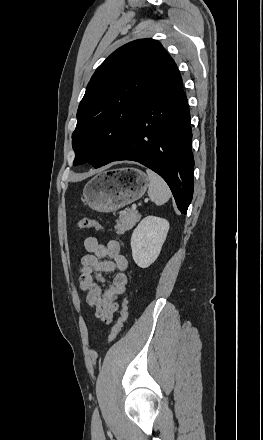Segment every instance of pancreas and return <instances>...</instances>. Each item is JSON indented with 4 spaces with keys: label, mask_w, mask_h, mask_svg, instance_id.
Instances as JSON below:
<instances>
[{
    "label": "pancreas",
    "mask_w": 263,
    "mask_h": 440,
    "mask_svg": "<svg viewBox=\"0 0 263 440\" xmlns=\"http://www.w3.org/2000/svg\"><path fill=\"white\" fill-rule=\"evenodd\" d=\"M140 215L135 210H129L121 213L119 219L116 220L115 230L118 234H124L126 231L132 229L139 221Z\"/></svg>",
    "instance_id": "1"
}]
</instances>
